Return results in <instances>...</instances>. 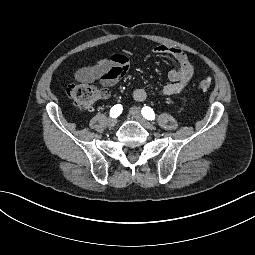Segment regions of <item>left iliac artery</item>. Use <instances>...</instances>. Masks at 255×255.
Here are the masks:
<instances>
[{
  "label": "left iliac artery",
  "mask_w": 255,
  "mask_h": 255,
  "mask_svg": "<svg viewBox=\"0 0 255 255\" xmlns=\"http://www.w3.org/2000/svg\"><path fill=\"white\" fill-rule=\"evenodd\" d=\"M143 117H145L147 120H154L155 119V113L153 109H151L148 106H144L141 110Z\"/></svg>",
  "instance_id": "1"
}]
</instances>
